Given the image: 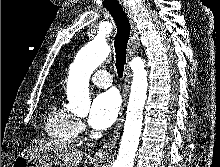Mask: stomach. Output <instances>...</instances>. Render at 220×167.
Wrapping results in <instances>:
<instances>
[{"label": "stomach", "mask_w": 220, "mask_h": 167, "mask_svg": "<svg viewBox=\"0 0 220 167\" xmlns=\"http://www.w3.org/2000/svg\"><path fill=\"white\" fill-rule=\"evenodd\" d=\"M12 167H41L31 160L30 157L20 154L14 161Z\"/></svg>", "instance_id": "stomach-1"}]
</instances>
